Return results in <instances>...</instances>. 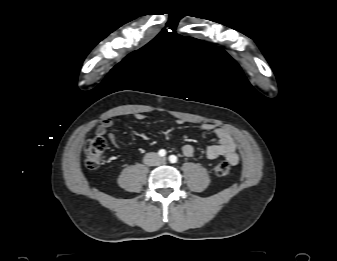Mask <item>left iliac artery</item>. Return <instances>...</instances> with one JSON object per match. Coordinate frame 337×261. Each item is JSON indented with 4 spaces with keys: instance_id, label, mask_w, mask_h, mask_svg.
Segmentation results:
<instances>
[{
    "instance_id": "left-iliac-artery-1",
    "label": "left iliac artery",
    "mask_w": 337,
    "mask_h": 261,
    "mask_svg": "<svg viewBox=\"0 0 337 261\" xmlns=\"http://www.w3.org/2000/svg\"><path fill=\"white\" fill-rule=\"evenodd\" d=\"M177 157L175 156V155H170L169 156V161L171 162V163H176L177 162Z\"/></svg>"
}]
</instances>
